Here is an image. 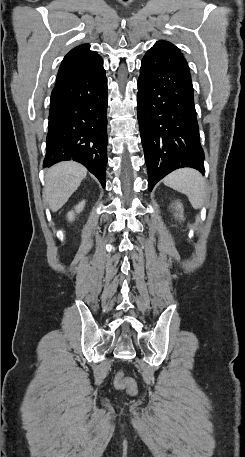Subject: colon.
Instances as JSON below:
<instances>
[{
  "instance_id": "5ec220e1",
  "label": "colon",
  "mask_w": 245,
  "mask_h": 457,
  "mask_svg": "<svg viewBox=\"0 0 245 457\" xmlns=\"http://www.w3.org/2000/svg\"><path fill=\"white\" fill-rule=\"evenodd\" d=\"M115 384L120 389H125L130 393L135 392L136 384L132 378L127 377L123 372H118L115 377Z\"/></svg>"
}]
</instances>
